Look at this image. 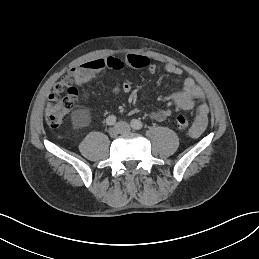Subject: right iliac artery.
<instances>
[{
    "instance_id": "82829eb1",
    "label": "right iliac artery",
    "mask_w": 259,
    "mask_h": 259,
    "mask_svg": "<svg viewBox=\"0 0 259 259\" xmlns=\"http://www.w3.org/2000/svg\"><path fill=\"white\" fill-rule=\"evenodd\" d=\"M106 123L109 126H112L116 123V117L114 115H110L106 118Z\"/></svg>"
}]
</instances>
